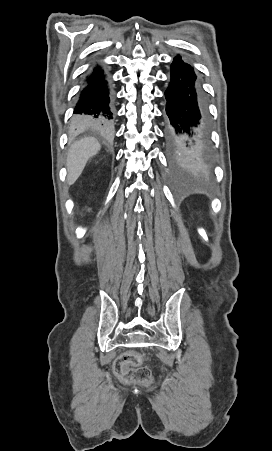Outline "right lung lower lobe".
<instances>
[{"label": "right lung lower lobe", "mask_w": 272, "mask_h": 451, "mask_svg": "<svg viewBox=\"0 0 272 451\" xmlns=\"http://www.w3.org/2000/svg\"><path fill=\"white\" fill-rule=\"evenodd\" d=\"M74 125L94 131H109L115 117L113 95L107 74L101 66H95L86 76L78 93L73 111Z\"/></svg>", "instance_id": "right-lung-lower-lobe-1"}]
</instances>
